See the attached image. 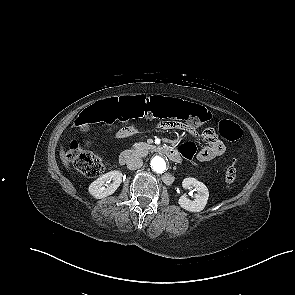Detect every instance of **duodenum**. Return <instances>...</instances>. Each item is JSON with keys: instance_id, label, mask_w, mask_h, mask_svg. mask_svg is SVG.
<instances>
[{"instance_id": "410a0bca", "label": "duodenum", "mask_w": 295, "mask_h": 295, "mask_svg": "<svg viewBox=\"0 0 295 295\" xmlns=\"http://www.w3.org/2000/svg\"><path fill=\"white\" fill-rule=\"evenodd\" d=\"M156 150L165 156H167L171 161L175 163H179L181 161V155L180 153L170 147V146H157ZM137 156V152L134 150H125L123 151L119 156V163L121 165H125L129 163L131 160H133Z\"/></svg>"}]
</instances>
